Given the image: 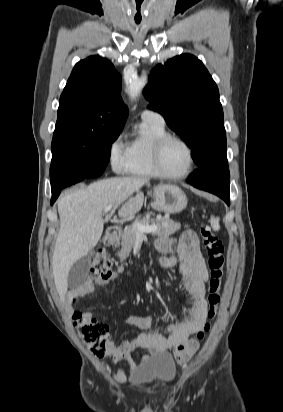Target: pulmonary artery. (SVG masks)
<instances>
[{"mask_svg":"<svg viewBox=\"0 0 283 412\" xmlns=\"http://www.w3.org/2000/svg\"><path fill=\"white\" fill-rule=\"evenodd\" d=\"M141 118L144 122L149 121L159 125H165L164 117L160 113L153 110H144L141 114Z\"/></svg>","mask_w":283,"mask_h":412,"instance_id":"1","label":"pulmonary artery"}]
</instances>
